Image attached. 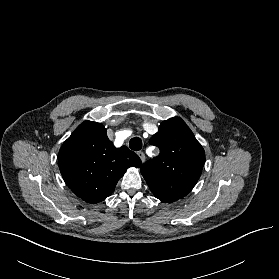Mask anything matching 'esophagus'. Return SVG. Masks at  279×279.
Returning <instances> with one entry per match:
<instances>
[{"instance_id":"1","label":"esophagus","mask_w":279,"mask_h":279,"mask_svg":"<svg viewBox=\"0 0 279 279\" xmlns=\"http://www.w3.org/2000/svg\"><path fill=\"white\" fill-rule=\"evenodd\" d=\"M137 154H138V156L140 157L141 161H142V162H145L146 157H145L144 152L139 151Z\"/></svg>"}]
</instances>
